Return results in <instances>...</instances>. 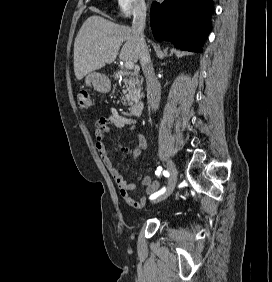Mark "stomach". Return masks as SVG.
<instances>
[{
  "label": "stomach",
  "instance_id": "1",
  "mask_svg": "<svg viewBox=\"0 0 272 282\" xmlns=\"http://www.w3.org/2000/svg\"><path fill=\"white\" fill-rule=\"evenodd\" d=\"M86 85L93 86L97 91L108 92L110 90V81L104 74L93 72L87 75Z\"/></svg>",
  "mask_w": 272,
  "mask_h": 282
}]
</instances>
